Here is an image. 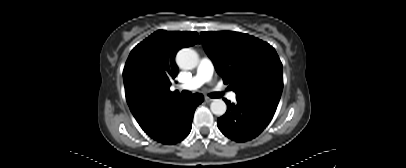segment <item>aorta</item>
I'll return each instance as SVG.
<instances>
[{
	"label": "aorta",
	"instance_id": "762f6f07",
	"mask_svg": "<svg viewBox=\"0 0 406 168\" xmlns=\"http://www.w3.org/2000/svg\"><path fill=\"white\" fill-rule=\"evenodd\" d=\"M176 62L182 69H193L198 65L199 56L191 48L181 49L176 55ZM213 114L222 116L227 110V106L222 99H214L210 105Z\"/></svg>",
	"mask_w": 406,
	"mask_h": 168
}]
</instances>
